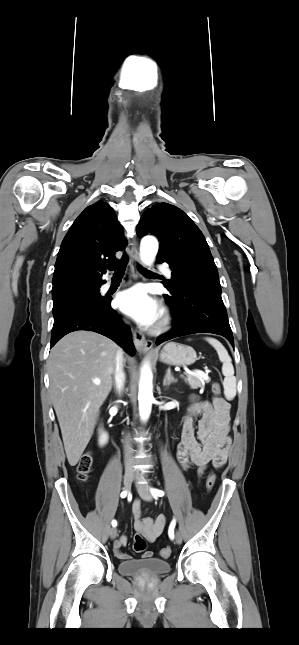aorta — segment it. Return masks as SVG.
I'll return each mask as SVG.
<instances>
[{
  "instance_id": "1",
  "label": "aorta",
  "mask_w": 299,
  "mask_h": 645,
  "mask_svg": "<svg viewBox=\"0 0 299 645\" xmlns=\"http://www.w3.org/2000/svg\"><path fill=\"white\" fill-rule=\"evenodd\" d=\"M158 252V241L154 237H145L140 245V258L146 265H151ZM152 372L148 365L141 370L139 382V413L143 421H146L151 413L153 398Z\"/></svg>"
}]
</instances>
